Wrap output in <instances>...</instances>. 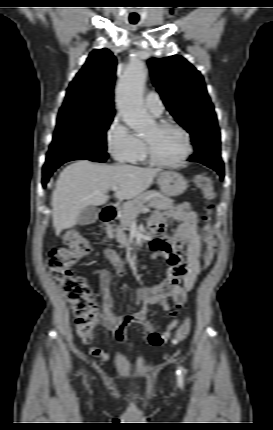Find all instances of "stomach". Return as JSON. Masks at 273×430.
<instances>
[{"label": "stomach", "mask_w": 273, "mask_h": 430, "mask_svg": "<svg viewBox=\"0 0 273 430\" xmlns=\"http://www.w3.org/2000/svg\"><path fill=\"white\" fill-rule=\"evenodd\" d=\"M157 183L161 192L168 197L179 196L187 188L184 177L175 171H162L158 175Z\"/></svg>", "instance_id": "stomach-1"}]
</instances>
